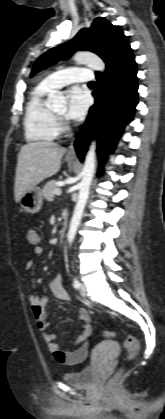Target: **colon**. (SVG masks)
Here are the masks:
<instances>
[{"mask_svg": "<svg viewBox=\"0 0 165 419\" xmlns=\"http://www.w3.org/2000/svg\"><path fill=\"white\" fill-rule=\"evenodd\" d=\"M32 241H36V236H31ZM104 337L111 338L113 337V333L109 330H105L103 332ZM124 347L126 350V358L133 359L140 351L139 342L136 340L135 337L132 335H127L124 340ZM118 379V374L112 378V381L115 382Z\"/></svg>", "mask_w": 165, "mask_h": 419, "instance_id": "5ec220e1", "label": "colon"}]
</instances>
